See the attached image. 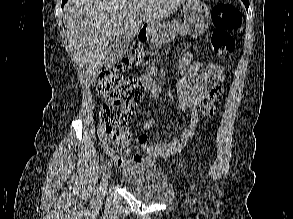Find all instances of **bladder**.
Wrapping results in <instances>:
<instances>
[{
	"instance_id": "bladder-1",
	"label": "bladder",
	"mask_w": 293,
	"mask_h": 219,
	"mask_svg": "<svg viewBox=\"0 0 293 219\" xmlns=\"http://www.w3.org/2000/svg\"><path fill=\"white\" fill-rule=\"evenodd\" d=\"M119 182L127 192L148 205L166 204L175 197L167 177L153 165L131 167L121 173Z\"/></svg>"
}]
</instances>
